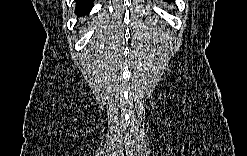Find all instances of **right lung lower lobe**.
<instances>
[{"mask_svg": "<svg viewBox=\"0 0 247 156\" xmlns=\"http://www.w3.org/2000/svg\"><path fill=\"white\" fill-rule=\"evenodd\" d=\"M92 7H93L92 1L79 0L77 2L76 13L85 15L86 13H88L91 10Z\"/></svg>", "mask_w": 247, "mask_h": 156, "instance_id": "right-lung-lower-lobe-1", "label": "right lung lower lobe"}]
</instances>
